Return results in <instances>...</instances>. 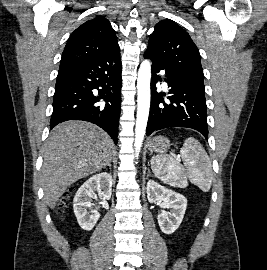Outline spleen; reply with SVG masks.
I'll list each match as a JSON object with an SVG mask.
<instances>
[{
	"instance_id": "spleen-1",
	"label": "spleen",
	"mask_w": 267,
	"mask_h": 270,
	"mask_svg": "<svg viewBox=\"0 0 267 270\" xmlns=\"http://www.w3.org/2000/svg\"><path fill=\"white\" fill-rule=\"evenodd\" d=\"M180 158L173 155L156 156L151 159L154 174L165 183L186 187L190 181L202 191L208 192L212 184L211 161L203 146L193 137L185 140L180 151Z\"/></svg>"
}]
</instances>
